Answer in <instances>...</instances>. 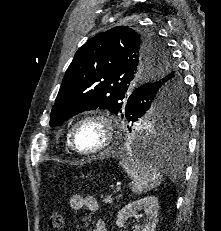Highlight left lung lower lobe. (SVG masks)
<instances>
[{
	"label": "left lung lower lobe",
	"mask_w": 221,
	"mask_h": 231,
	"mask_svg": "<svg viewBox=\"0 0 221 231\" xmlns=\"http://www.w3.org/2000/svg\"><path fill=\"white\" fill-rule=\"evenodd\" d=\"M154 87L149 85L147 88ZM181 89L184 91V87L182 86ZM142 93V89L137 88L132 92L129 96L128 101L130 104H137L140 99ZM186 97V94H185ZM179 99L176 101V105L178 104ZM135 107V106H134ZM131 116L127 117L128 122L132 125L134 122L137 121L138 114L131 112ZM131 130V128L129 129ZM132 142L138 144L139 146L143 147V153L146 155L147 152L153 151V149H158L162 151L163 154L167 155L166 162L169 164L173 160H178L180 157L183 156L186 148V141L184 139L183 133L179 130L176 134L173 135H158L157 133L146 131L143 133H135L129 136ZM150 160L153 162L157 160L155 157H151ZM158 163H161L158 160Z\"/></svg>",
	"instance_id": "left-lung-lower-lobe-1"
}]
</instances>
